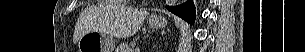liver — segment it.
<instances>
[{
    "mask_svg": "<svg viewBox=\"0 0 305 52\" xmlns=\"http://www.w3.org/2000/svg\"><path fill=\"white\" fill-rule=\"evenodd\" d=\"M147 15L148 12L145 10L130 8L121 4L120 1H115L111 5L108 34L115 38L131 37L139 30ZM95 30L90 26V21L85 17L75 28L74 43H77L86 32Z\"/></svg>",
    "mask_w": 305,
    "mask_h": 52,
    "instance_id": "liver-1",
    "label": "liver"
}]
</instances>
